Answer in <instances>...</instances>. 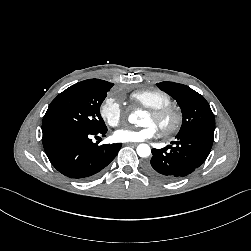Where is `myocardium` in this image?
<instances>
[{"mask_svg": "<svg viewBox=\"0 0 251 251\" xmlns=\"http://www.w3.org/2000/svg\"><path fill=\"white\" fill-rule=\"evenodd\" d=\"M151 117L159 123L158 130L162 136H170L176 133L183 121L181 111L172 105L157 109H149Z\"/></svg>", "mask_w": 251, "mask_h": 251, "instance_id": "1", "label": "myocardium"}]
</instances>
